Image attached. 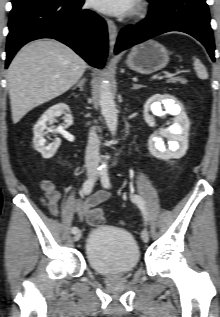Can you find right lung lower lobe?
I'll return each mask as SVG.
<instances>
[{
    "instance_id": "right-lung-lower-lobe-1",
    "label": "right lung lower lobe",
    "mask_w": 220,
    "mask_h": 317,
    "mask_svg": "<svg viewBox=\"0 0 220 317\" xmlns=\"http://www.w3.org/2000/svg\"><path fill=\"white\" fill-rule=\"evenodd\" d=\"M84 0H38L13 7L9 18L6 68L16 52L39 38H54L71 47L90 65L102 68L107 56L105 21Z\"/></svg>"
}]
</instances>
